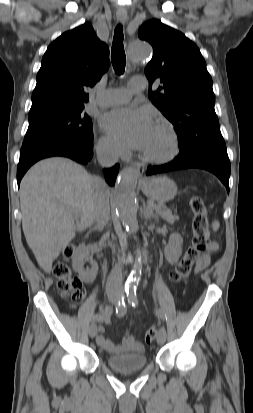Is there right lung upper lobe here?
Wrapping results in <instances>:
<instances>
[{"label": "right lung upper lobe", "mask_w": 253, "mask_h": 413, "mask_svg": "<svg viewBox=\"0 0 253 413\" xmlns=\"http://www.w3.org/2000/svg\"><path fill=\"white\" fill-rule=\"evenodd\" d=\"M108 68V46L97 38L90 24L65 32L43 56L30 112L84 105L89 100L87 89Z\"/></svg>", "instance_id": "right-lung-upper-lobe-1"}]
</instances>
